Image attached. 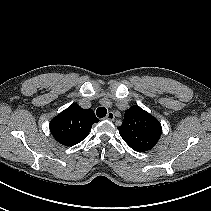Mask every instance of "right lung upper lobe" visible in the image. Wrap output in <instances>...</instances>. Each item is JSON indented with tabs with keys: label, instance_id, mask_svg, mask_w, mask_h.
<instances>
[{
	"label": "right lung upper lobe",
	"instance_id": "right-lung-upper-lobe-1",
	"mask_svg": "<svg viewBox=\"0 0 211 211\" xmlns=\"http://www.w3.org/2000/svg\"><path fill=\"white\" fill-rule=\"evenodd\" d=\"M98 121L92 109H83L73 103L55 116L49 127L56 141L65 146H72L86 138L92 124Z\"/></svg>",
	"mask_w": 211,
	"mask_h": 211
}]
</instances>
